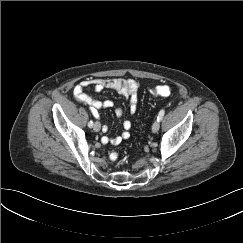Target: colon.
I'll use <instances>...</instances> for the list:
<instances>
[{"label":"colon","mask_w":243,"mask_h":243,"mask_svg":"<svg viewBox=\"0 0 243 243\" xmlns=\"http://www.w3.org/2000/svg\"><path fill=\"white\" fill-rule=\"evenodd\" d=\"M151 92L154 94V95H159V96H169L171 95L172 93V90L169 86L167 85H158L156 87H154ZM110 159L112 161H116L118 159V154L116 152H113L110 154Z\"/></svg>","instance_id":"1"}]
</instances>
